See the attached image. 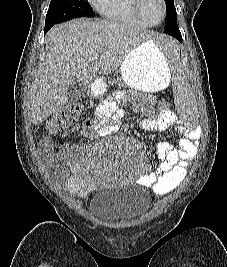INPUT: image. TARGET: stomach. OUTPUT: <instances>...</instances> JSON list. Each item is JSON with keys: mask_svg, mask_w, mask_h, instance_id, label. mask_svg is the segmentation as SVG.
I'll return each mask as SVG.
<instances>
[{"mask_svg": "<svg viewBox=\"0 0 227 267\" xmlns=\"http://www.w3.org/2000/svg\"><path fill=\"white\" fill-rule=\"evenodd\" d=\"M152 40H147L133 49L120 66V77L129 87L156 92L166 88L171 74L166 55L161 47H154ZM108 90V85H92L91 95H99Z\"/></svg>", "mask_w": 227, "mask_h": 267, "instance_id": "1", "label": "stomach"}]
</instances>
